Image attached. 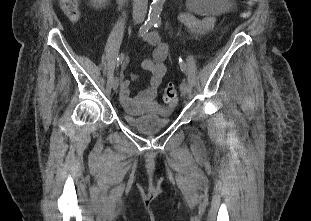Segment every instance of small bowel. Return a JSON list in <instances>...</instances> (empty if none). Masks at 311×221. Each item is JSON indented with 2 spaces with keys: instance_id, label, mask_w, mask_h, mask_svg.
<instances>
[{
  "instance_id": "small-bowel-1",
  "label": "small bowel",
  "mask_w": 311,
  "mask_h": 221,
  "mask_svg": "<svg viewBox=\"0 0 311 221\" xmlns=\"http://www.w3.org/2000/svg\"><path fill=\"white\" fill-rule=\"evenodd\" d=\"M179 21L186 26L193 35H202L209 32L215 25L217 19L214 16L199 18L192 13L184 12L179 15ZM145 42L153 47L152 57L142 62L143 69L149 74V82L140 93L132 98L129 86L132 80L138 79V75H133L131 79H124L120 84V96L125 103L135 100H153L157 97L162 78L167 72L165 60L169 55V46L162 42L156 33L145 35Z\"/></svg>"
}]
</instances>
